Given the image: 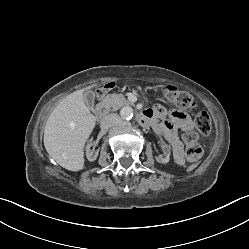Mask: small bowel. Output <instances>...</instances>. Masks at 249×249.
Returning <instances> with one entry per match:
<instances>
[{
	"mask_svg": "<svg viewBox=\"0 0 249 249\" xmlns=\"http://www.w3.org/2000/svg\"><path fill=\"white\" fill-rule=\"evenodd\" d=\"M145 117L154 126L155 130L164 136L170 144L174 159L177 163L183 162V145L177 136V130L188 131L193 129L191 117L179 109H167L156 105L144 112Z\"/></svg>",
	"mask_w": 249,
	"mask_h": 249,
	"instance_id": "obj_1",
	"label": "small bowel"
}]
</instances>
